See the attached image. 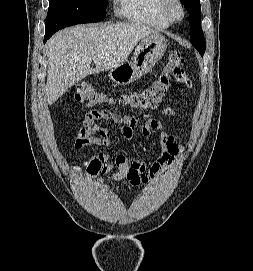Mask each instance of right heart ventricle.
Wrapping results in <instances>:
<instances>
[{"mask_svg":"<svg viewBox=\"0 0 253 271\" xmlns=\"http://www.w3.org/2000/svg\"><path fill=\"white\" fill-rule=\"evenodd\" d=\"M123 18L155 29H167L171 22L162 11L163 0H115Z\"/></svg>","mask_w":253,"mask_h":271,"instance_id":"obj_1","label":"right heart ventricle"}]
</instances>
